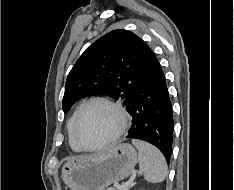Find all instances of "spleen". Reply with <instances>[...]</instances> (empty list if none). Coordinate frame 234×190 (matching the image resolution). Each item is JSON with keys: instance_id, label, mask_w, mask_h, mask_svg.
Masks as SVG:
<instances>
[{"instance_id": "spleen-1", "label": "spleen", "mask_w": 234, "mask_h": 190, "mask_svg": "<svg viewBox=\"0 0 234 190\" xmlns=\"http://www.w3.org/2000/svg\"><path fill=\"white\" fill-rule=\"evenodd\" d=\"M133 145L138 149L139 175L151 183L162 182L167 176V164L163 154L153 145L133 139Z\"/></svg>"}]
</instances>
